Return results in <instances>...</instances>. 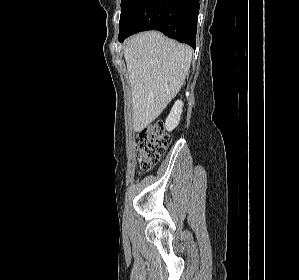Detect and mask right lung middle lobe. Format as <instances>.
I'll return each mask as SVG.
<instances>
[{
	"label": "right lung middle lobe",
	"mask_w": 299,
	"mask_h": 280,
	"mask_svg": "<svg viewBox=\"0 0 299 280\" xmlns=\"http://www.w3.org/2000/svg\"><path fill=\"white\" fill-rule=\"evenodd\" d=\"M124 1H125V0H121V5L123 4Z\"/></svg>",
	"instance_id": "right-lung-middle-lobe-1"
}]
</instances>
